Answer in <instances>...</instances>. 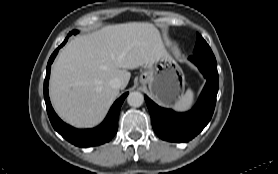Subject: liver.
<instances>
[{
    "label": "liver",
    "mask_w": 278,
    "mask_h": 174,
    "mask_svg": "<svg viewBox=\"0 0 278 174\" xmlns=\"http://www.w3.org/2000/svg\"><path fill=\"white\" fill-rule=\"evenodd\" d=\"M168 55L159 30L148 22L108 25L78 36L59 53L52 66L49 92L57 114L77 128L99 124L119 95L113 78L124 89L127 69L152 64Z\"/></svg>",
    "instance_id": "6515ba94"
}]
</instances>
